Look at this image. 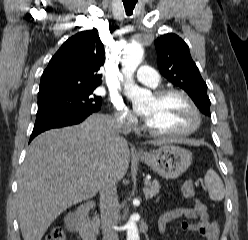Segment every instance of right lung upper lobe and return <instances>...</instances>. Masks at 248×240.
I'll list each match as a JSON object with an SVG mask.
<instances>
[{
  "mask_svg": "<svg viewBox=\"0 0 248 240\" xmlns=\"http://www.w3.org/2000/svg\"><path fill=\"white\" fill-rule=\"evenodd\" d=\"M103 44L97 30L70 37L42 74L38 96L96 88L104 63Z\"/></svg>",
  "mask_w": 248,
  "mask_h": 240,
  "instance_id": "obj_1",
  "label": "right lung upper lobe"
}]
</instances>
